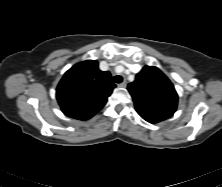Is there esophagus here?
<instances>
[{
  "label": "esophagus",
  "mask_w": 222,
  "mask_h": 187,
  "mask_svg": "<svg viewBox=\"0 0 222 187\" xmlns=\"http://www.w3.org/2000/svg\"><path fill=\"white\" fill-rule=\"evenodd\" d=\"M126 86H127L126 81H124L118 85V87H121V88H125Z\"/></svg>",
  "instance_id": "obj_1"
}]
</instances>
